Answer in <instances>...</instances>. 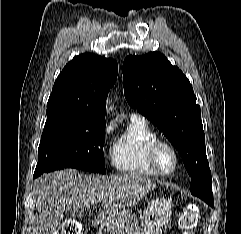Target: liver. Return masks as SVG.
I'll return each instance as SVG.
<instances>
[{
    "instance_id": "obj_1",
    "label": "liver",
    "mask_w": 241,
    "mask_h": 234,
    "mask_svg": "<svg viewBox=\"0 0 241 234\" xmlns=\"http://www.w3.org/2000/svg\"><path fill=\"white\" fill-rule=\"evenodd\" d=\"M156 188L152 180L135 174L83 176L73 169L55 171L40 177L33 190L39 220L34 234H56L65 212L102 207L116 214L137 204Z\"/></svg>"
}]
</instances>
